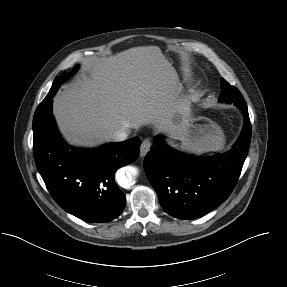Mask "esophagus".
Masks as SVG:
<instances>
[{
  "instance_id": "1",
  "label": "esophagus",
  "mask_w": 287,
  "mask_h": 287,
  "mask_svg": "<svg viewBox=\"0 0 287 287\" xmlns=\"http://www.w3.org/2000/svg\"><path fill=\"white\" fill-rule=\"evenodd\" d=\"M152 143L151 140L149 138H146L143 140L141 147H140V155L143 157L145 156L148 151L150 150Z\"/></svg>"
}]
</instances>
